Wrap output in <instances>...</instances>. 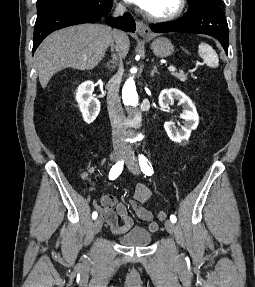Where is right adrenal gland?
I'll list each match as a JSON object with an SVG mask.
<instances>
[{
    "label": "right adrenal gland",
    "instance_id": "obj_1",
    "mask_svg": "<svg viewBox=\"0 0 255 287\" xmlns=\"http://www.w3.org/2000/svg\"><path fill=\"white\" fill-rule=\"evenodd\" d=\"M111 58H112L111 64H115L116 54H112Z\"/></svg>",
    "mask_w": 255,
    "mask_h": 287
}]
</instances>
